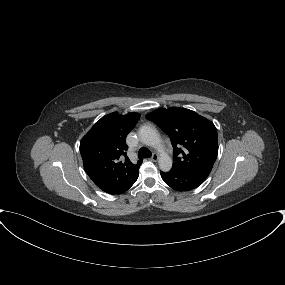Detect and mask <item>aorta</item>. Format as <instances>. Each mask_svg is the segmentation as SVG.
Returning a JSON list of instances; mask_svg holds the SVG:
<instances>
[{
  "instance_id": "762f6f07",
  "label": "aorta",
  "mask_w": 285,
  "mask_h": 285,
  "mask_svg": "<svg viewBox=\"0 0 285 285\" xmlns=\"http://www.w3.org/2000/svg\"><path fill=\"white\" fill-rule=\"evenodd\" d=\"M139 138L143 144L157 149L160 169L164 172L170 171L172 168V159L163 149L161 138L157 131L151 126L144 125L139 129Z\"/></svg>"
}]
</instances>
